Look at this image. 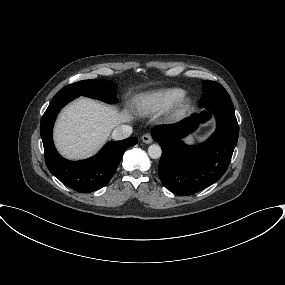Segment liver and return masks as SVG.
<instances>
[{"label": "liver", "instance_id": "1", "mask_svg": "<svg viewBox=\"0 0 285 285\" xmlns=\"http://www.w3.org/2000/svg\"><path fill=\"white\" fill-rule=\"evenodd\" d=\"M132 119L128 110L120 112L96 100L79 98L60 113L54 141L66 158H87L107 141L114 127Z\"/></svg>", "mask_w": 285, "mask_h": 285}]
</instances>
